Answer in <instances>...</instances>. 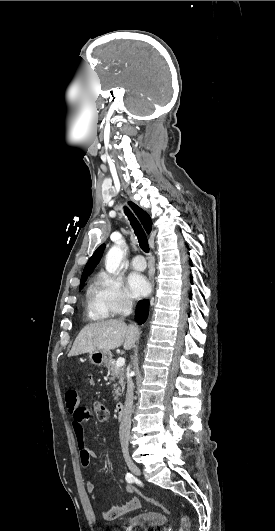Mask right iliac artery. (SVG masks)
<instances>
[{"mask_svg": "<svg viewBox=\"0 0 275 531\" xmlns=\"http://www.w3.org/2000/svg\"><path fill=\"white\" fill-rule=\"evenodd\" d=\"M125 479L128 483H133L135 481V477L131 473H127Z\"/></svg>", "mask_w": 275, "mask_h": 531, "instance_id": "1", "label": "right iliac artery"}]
</instances>
